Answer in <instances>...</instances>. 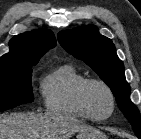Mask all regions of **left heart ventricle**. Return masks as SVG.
<instances>
[{"instance_id": "b2bd125f", "label": "left heart ventricle", "mask_w": 141, "mask_h": 139, "mask_svg": "<svg viewBox=\"0 0 141 139\" xmlns=\"http://www.w3.org/2000/svg\"><path fill=\"white\" fill-rule=\"evenodd\" d=\"M87 102L91 112L98 116H106L111 109L108 93L99 85H91L87 91Z\"/></svg>"}]
</instances>
